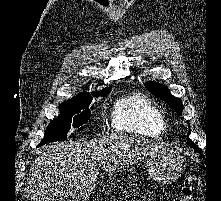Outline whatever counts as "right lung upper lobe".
<instances>
[{"mask_svg": "<svg viewBox=\"0 0 221 201\" xmlns=\"http://www.w3.org/2000/svg\"><path fill=\"white\" fill-rule=\"evenodd\" d=\"M110 90H111V88L107 87V88L103 89L102 91L92 92V95L100 93V92L110 91ZM87 96H90V94L88 92H83V93H80L79 95H77L76 97H73L72 99H78V98H83V97H87Z\"/></svg>", "mask_w": 221, "mask_h": 201, "instance_id": "right-lung-upper-lobe-1", "label": "right lung upper lobe"}]
</instances>
